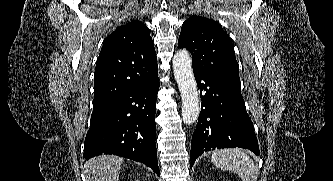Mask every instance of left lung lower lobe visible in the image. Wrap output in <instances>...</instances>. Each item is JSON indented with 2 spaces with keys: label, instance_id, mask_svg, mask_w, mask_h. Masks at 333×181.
<instances>
[{
  "label": "left lung lower lobe",
  "instance_id": "1",
  "mask_svg": "<svg viewBox=\"0 0 333 181\" xmlns=\"http://www.w3.org/2000/svg\"><path fill=\"white\" fill-rule=\"evenodd\" d=\"M201 95V112L191 142V168L196 158L206 151L240 147L259 155L254 126L243 97L227 83L193 70Z\"/></svg>",
  "mask_w": 333,
  "mask_h": 181
}]
</instances>
